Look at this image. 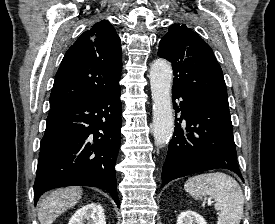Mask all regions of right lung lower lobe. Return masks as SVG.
Instances as JSON below:
<instances>
[{"instance_id":"right-lung-lower-lobe-1","label":"right lung lower lobe","mask_w":275,"mask_h":224,"mask_svg":"<svg viewBox=\"0 0 275 224\" xmlns=\"http://www.w3.org/2000/svg\"><path fill=\"white\" fill-rule=\"evenodd\" d=\"M120 87L97 98L51 108L40 144L34 200L63 186L108 191L117 206L115 163L121 132Z\"/></svg>"}]
</instances>
